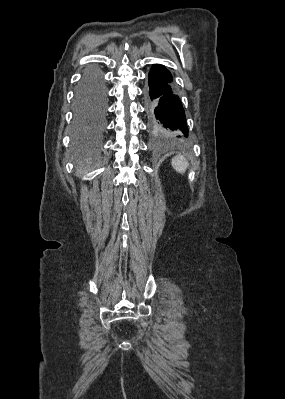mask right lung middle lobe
I'll list each match as a JSON object with an SVG mask.
<instances>
[{
	"mask_svg": "<svg viewBox=\"0 0 285 399\" xmlns=\"http://www.w3.org/2000/svg\"><path fill=\"white\" fill-rule=\"evenodd\" d=\"M105 86L101 74L91 69L80 82L75 99V115L80 123L100 117L105 110Z\"/></svg>",
	"mask_w": 285,
	"mask_h": 399,
	"instance_id": "dd1d6c3e",
	"label": "right lung middle lobe"
}]
</instances>
